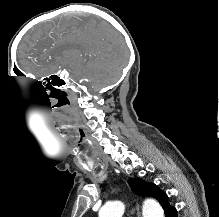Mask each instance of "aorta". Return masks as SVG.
Masks as SVG:
<instances>
[{"label": "aorta", "mask_w": 219, "mask_h": 217, "mask_svg": "<svg viewBox=\"0 0 219 217\" xmlns=\"http://www.w3.org/2000/svg\"><path fill=\"white\" fill-rule=\"evenodd\" d=\"M124 213L123 203L116 201L103 206L99 211V217H122ZM143 217H164V211L155 200H146L142 208Z\"/></svg>", "instance_id": "aorta-1"}]
</instances>
